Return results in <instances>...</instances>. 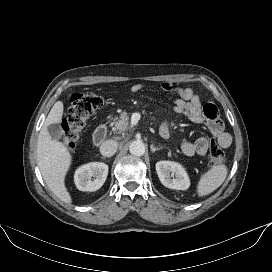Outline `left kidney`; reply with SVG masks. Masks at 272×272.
Listing matches in <instances>:
<instances>
[{"label":"left kidney","mask_w":272,"mask_h":272,"mask_svg":"<svg viewBox=\"0 0 272 272\" xmlns=\"http://www.w3.org/2000/svg\"><path fill=\"white\" fill-rule=\"evenodd\" d=\"M156 172L161 183L170 189L186 190L190 186V179L183 166L173 161H159Z\"/></svg>","instance_id":"obj_1"}]
</instances>
